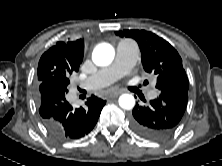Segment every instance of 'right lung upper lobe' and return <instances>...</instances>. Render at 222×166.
I'll return each instance as SVG.
<instances>
[{
  "mask_svg": "<svg viewBox=\"0 0 222 166\" xmlns=\"http://www.w3.org/2000/svg\"><path fill=\"white\" fill-rule=\"evenodd\" d=\"M84 43L81 39L76 41H59L42 55V59L51 57L73 58L75 60L83 59Z\"/></svg>",
  "mask_w": 222,
  "mask_h": 166,
  "instance_id": "cb5924a9",
  "label": "right lung upper lobe"
}]
</instances>
